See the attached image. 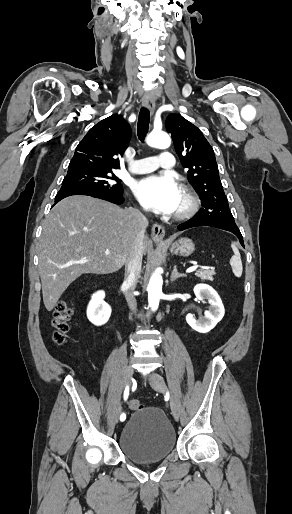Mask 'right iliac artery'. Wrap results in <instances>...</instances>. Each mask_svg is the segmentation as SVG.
<instances>
[{"label":"right iliac artery","mask_w":292,"mask_h":514,"mask_svg":"<svg viewBox=\"0 0 292 514\" xmlns=\"http://www.w3.org/2000/svg\"><path fill=\"white\" fill-rule=\"evenodd\" d=\"M128 395H129V386H126L125 391H124V396H123L125 401L128 399ZM125 419H126V414L122 413L120 416V421H124Z\"/></svg>","instance_id":"right-iliac-artery-1"}]
</instances>
